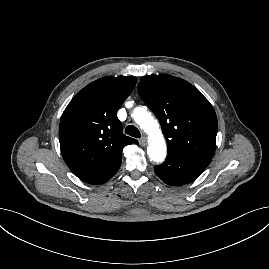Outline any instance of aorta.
Masks as SVG:
<instances>
[{"label": "aorta", "mask_w": 269, "mask_h": 269, "mask_svg": "<svg viewBox=\"0 0 269 269\" xmlns=\"http://www.w3.org/2000/svg\"><path fill=\"white\" fill-rule=\"evenodd\" d=\"M132 117L149 136L147 149L149 159L162 163L167 155V145L158 122L145 107H136L132 112Z\"/></svg>", "instance_id": "1"}]
</instances>
